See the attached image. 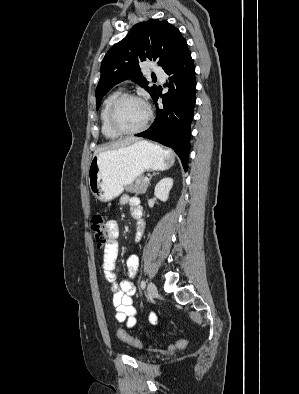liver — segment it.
<instances>
[{
    "instance_id": "obj_1",
    "label": "liver",
    "mask_w": 299,
    "mask_h": 394,
    "mask_svg": "<svg viewBox=\"0 0 299 394\" xmlns=\"http://www.w3.org/2000/svg\"><path fill=\"white\" fill-rule=\"evenodd\" d=\"M138 140H139L138 138L130 137V138H127L124 140L112 142L109 145H105V146L97 148L96 151L94 152V155H97L98 153L106 151V150L117 149L120 147L131 145V144L137 142Z\"/></svg>"
}]
</instances>
